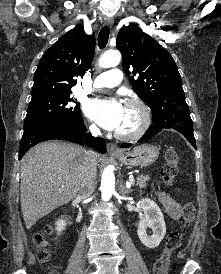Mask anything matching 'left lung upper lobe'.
I'll list each match as a JSON object with an SVG mask.
<instances>
[{"label": "left lung upper lobe", "mask_w": 221, "mask_h": 274, "mask_svg": "<svg viewBox=\"0 0 221 274\" xmlns=\"http://www.w3.org/2000/svg\"><path fill=\"white\" fill-rule=\"evenodd\" d=\"M122 66L135 93L149 105L153 115L185 102L182 80L174 59L156 40L135 24L123 27L117 36Z\"/></svg>", "instance_id": "1"}]
</instances>
